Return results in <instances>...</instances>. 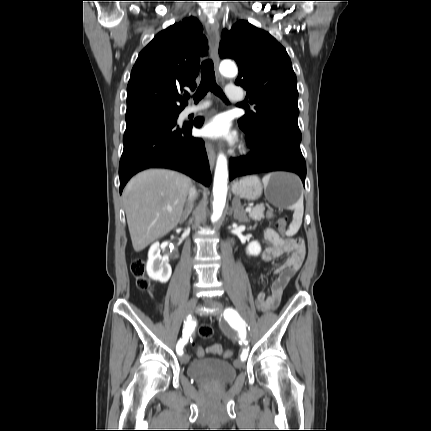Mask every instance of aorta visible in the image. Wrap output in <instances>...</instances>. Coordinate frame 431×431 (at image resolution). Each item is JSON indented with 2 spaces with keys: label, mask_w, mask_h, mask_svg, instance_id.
Returning a JSON list of instances; mask_svg holds the SVG:
<instances>
[{
  "label": "aorta",
  "mask_w": 431,
  "mask_h": 431,
  "mask_svg": "<svg viewBox=\"0 0 431 431\" xmlns=\"http://www.w3.org/2000/svg\"><path fill=\"white\" fill-rule=\"evenodd\" d=\"M219 71L226 77H234L238 72L236 65L231 61H223L220 64ZM227 180V159L223 154H220L217 159L214 175L212 222H216L222 216L227 197Z\"/></svg>",
  "instance_id": "aorta-1"
}]
</instances>
